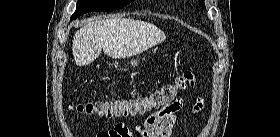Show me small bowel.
Listing matches in <instances>:
<instances>
[{
  "label": "small bowel",
  "mask_w": 280,
  "mask_h": 137,
  "mask_svg": "<svg viewBox=\"0 0 280 137\" xmlns=\"http://www.w3.org/2000/svg\"><path fill=\"white\" fill-rule=\"evenodd\" d=\"M185 107V100L178 98L166 104L161 109L150 114L142 124L136 127L144 137H171L179 121V114ZM203 107V102L198 100L192 107V112H198ZM130 137L133 132L124 124H118L113 130L100 131L96 137Z\"/></svg>",
  "instance_id": "small-bowel-1"
}]
</instances>
